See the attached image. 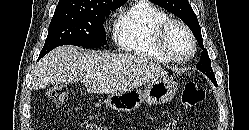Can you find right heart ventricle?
Masks as SVG:
<instances>
[{
	"mask_svg": "<svg viewBox=\"0 0 249 130\" xmlns=\"http://www.w3.org/2000/svg\"><path fill=\"white\" fill-rule=\"evenodd\" d=\"M169 19L168 14L148 0H136L117 17L112 38L127 54L167 63L157 48L156 32Z\"/></svg>",
	"mask_w": 249,
	"mask_h": 130,
	"instance_id": "right-heart-ventricle-1",
	"label": "right heart ventricle"
}]
</instances>
